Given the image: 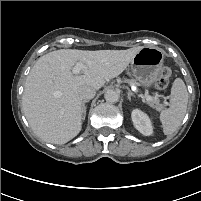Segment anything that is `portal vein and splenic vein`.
Wrapping results in <instances>:
<instances>
[{
    "mask_svg": "<svg viewBox=\"0 0 201 201\" xmlns=\"http://www.w3.org/2000/svg\"><path fill=\"white\" fill-rule=\"evenodd\" d=\"M84 68L83 63L81 62H77L76 65L73 67L72 72L74 74H79L80 71ZM147 101H152L153 97L149 96V95H145L143 96Z\"/></svg>",
    "mask_w": 201,
    "mask_h": 201,
    "instance_id": "portal-vein-and-splenic-vein-1",
    "label": "portal vein and splenic vein"
}]
</instances>
